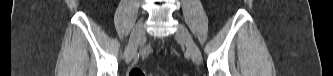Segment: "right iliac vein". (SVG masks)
<instances>
[{"label": "right iliac vein", "instance_id": "1", "mask_svg": "<svg viewBox=\"0 0 333 76\" xmlns=\"http://www.w3.org/2000/svg\"><path fill=\"white\" fill-rule=\"evenodd\" d=\"M143 34H144V21L141 20L134 27L129 39L128 46L126 48L125 57L127 63H129L132 60L133 56L135 55L138 43L142 38Z\"/></svg>", "mask_w": 333, "mask_h": 76}]
</instances>
